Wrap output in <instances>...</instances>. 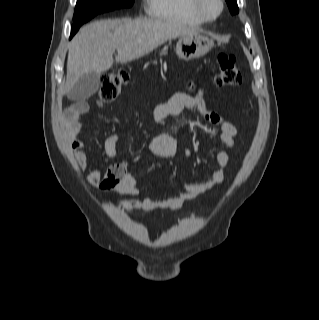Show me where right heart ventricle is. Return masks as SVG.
Here are the masks:
<instances>
[{"mask_svg": "<svg viewBox=\"0 0 319 320\" xmlns=\"http://www.w3.org/2000/svg\"><path fill=\"white\" fill-rule=\"evenodd\" d=\"M146 6L148 14L158 20L194 27L205 23L194 13L191 0H146Z\"/></svg>", "mask_w": 319, "mask_h": 320, "instance_id": "obj_1", "label": "right heart ventricle"}]
</instances>
